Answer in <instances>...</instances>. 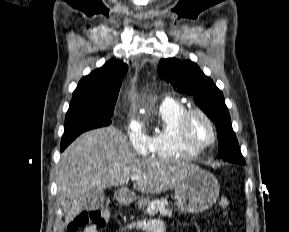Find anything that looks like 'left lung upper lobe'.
<instances>
[{"label": "left lung upper lobe", "instance_id": "1", "mask_svg": "<svg viewBox=\"0 0 289 232\" xmlns=\"http://www.w3.org/2000/svg\"><path fill=\"white\" fill-rule=\"evenodd\" d=\"M161 79L170 83L174 90L192 95L195 103L215 123L219 139L218 158L245 164L222 92L199 67L189 61L176 58L161 59L158 64Z\"/></svg>", "mask_w": 289, "mask_h": 232}]
</instances>
